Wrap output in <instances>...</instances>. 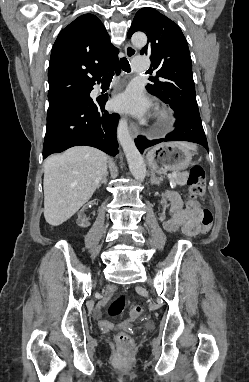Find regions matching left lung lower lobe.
I'll list each match as a JSON object with an SVG mask.
<instances>
[{"label":"left lung lower lobe","instance_id":"obj_1","mask_svg":"<svg viewBox=\"0 0 249 382\" xmlns=\"http://www.w3.org/2000/svg\"><path fill=\"white\" fill-rule=\"evenodd\" d=\"M175 129L165 138L158 140H148L144 136H138L135 144L139 151L143 153L144 149L160 142L167 141H189L202 145L208 150L206 136L202 127L200 115L193 112L175 113Z\"/></svg>","mask_w":249,"mask_h":382}]
</instances>
